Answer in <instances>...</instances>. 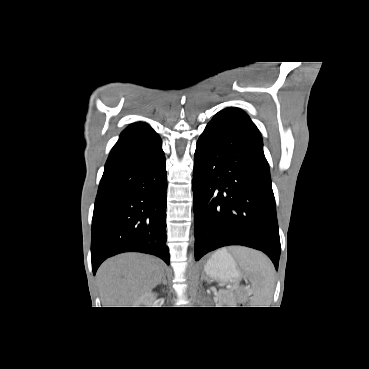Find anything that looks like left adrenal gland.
<instances>
[{"instance_id": "a2214340", "label": "left adrenal gland", "mask_w": 369, "mask_h": 369, "mask_svg": "<svg viewBox=\"0 0 369 369\" xmlns=\"http://www.w3.org/2000/svg\"><path fill=\"white\" fill-rule=\"evenodd\" d=\"M201 280H205L207 281L208 283L210 282V279L204 274V272H202V275H201Z\"/></svg>"}]
</instances>
